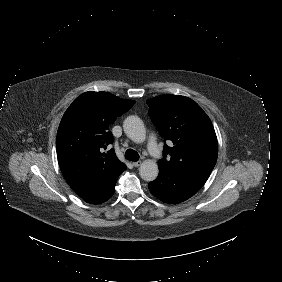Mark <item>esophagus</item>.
Segmentation results:
<instances>
[{
	"instance_id": "esophagus-1",
	"label": "esophagus",
	"mask_w": 282,
	"mask_h": 282,
	"mask_svg": "<svg viewBox=\"0 0 282 282\" xmlns=\"http://www.w3.org/2000/svg\"><path fill=\"white\" fill-rule=\"evenodd\" d=\"M141 161L139 160V161H136V162H133V166L134 167H139L140 165H141Z\"/></svg>"
}]
</instances>
